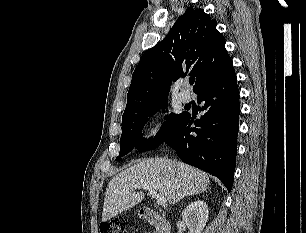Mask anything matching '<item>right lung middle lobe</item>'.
I'll return each mask as SVG.
<instances>
[{"mask_svg":"<svg viewBox=\"0 0 306 233\" xmlns=\"http://www.w3.org/2000/svg\"><path fill=\"white\" fill-rule=\"evenodd\" d=\"M168 101H162L122 117V135L120 139V153L116 160L127 154L133 148L139 151L152 150L167 140L179 127L186 113H171L165 118L167 121L155 135L149 139H142L141 132L149 116L167 107Z\"/></svg>","mask_w":306,"mask_h":233,"instance_id":"dd1d6c3e","label":"right lung middle lobe"}]
</instances>
